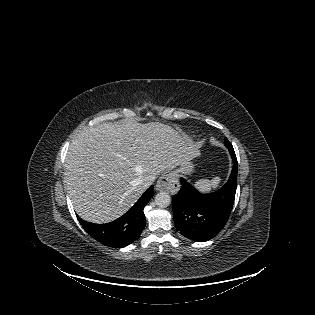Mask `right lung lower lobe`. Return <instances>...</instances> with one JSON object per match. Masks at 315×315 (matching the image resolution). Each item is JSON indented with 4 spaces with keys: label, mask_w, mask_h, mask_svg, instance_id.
<instances>
[{
    "label": "right lung lower lobe",
    "mask_w": 315,
    "mask_h": 315,
    "mask_svg": "<svg viewBox=\"0 0 315 315\" xmlns=\"http://www.w3.org/2000/svg\"><path fill=\"white\" fill-rule=\"evenodd\" d=\"M153 196V186L148 188L139 200L123 216L106 224L86 222L78 217L79 222L98 242L108 247L123 248L139 238L145 228L144 206Z\"/></svg>",
    "instance_id": "right-lung-lower-lobe-1"
}]
</instances>
